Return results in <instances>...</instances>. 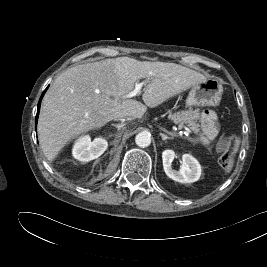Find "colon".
<instances>
[{
  "mask_svg": "<svg viewBox=\"0 0 267 267\" xmlns=\"http://www.w3.org/2000/svg\"><path fill=\"white\" fill-rule=\"evenodd\" d=\"M235 146L236 137L233 135L225 138L220 142L219 151L221 153V156L219 162L221 166L227 167L231 163Z\"/></svg>",
  "mask_w": 267,
  "mask_h": 267,
  "instance_id": "5ec220e1",
  "label": "colon"
}]
</instances>
